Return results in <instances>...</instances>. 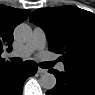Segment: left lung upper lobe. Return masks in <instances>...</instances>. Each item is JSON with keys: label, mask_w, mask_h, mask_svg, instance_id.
Segmentation results:
<instances>
[{"label": "left lung upper lobe", "mask_w": 95, "mask_h": 95, "mask_svg": "<svg viewBox=\"0 0 95 95\" xmlns=\"http://www.w3.org/2000/svg\"><path fill=\"white\" fill-rule=\"evenodd\" d=\"M30 22L41 26L49 49L63 54L66 67L95 73V15L86 10L62 6L35 10Z\"/></svg>", "instance_id": "1"}]
</instances>
